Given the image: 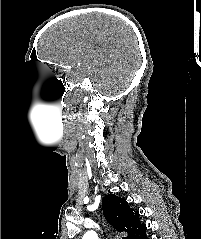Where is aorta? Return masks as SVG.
Wrapping results in <instances>:
<instances>
[{
  "label": "aorta",
  "mask_w": 201,
  "mask_h": 239,
  "mask_svg": "<svg viewBox=\"0 0 201 239\" xmlns=\"http://www.w3.org/2000/svg\"><path fill=\"white\" fill-rule=\"evenodd\" d=\"M82 239H98V236L96 232L88 231L86 234H84Z\"/></svg>",
  "instance_id": "obj_1"
}]
</instances>
